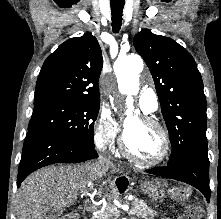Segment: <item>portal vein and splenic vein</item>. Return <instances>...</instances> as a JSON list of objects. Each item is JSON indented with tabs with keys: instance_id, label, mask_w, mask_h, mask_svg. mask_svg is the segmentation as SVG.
I'll return each instance as SVG.
<instances>
[{
	"instance_id": "obj_1",
	"label": "portal vein and splenic vein",
	"mask_w": 221,
	"mask_h": 219,
	"mask_svg": "<svg viewBox=\"0 0 221 219\" xmlns=\"http://www.w3.org/2000/svg\"><path fill=\"white\" fill-rule=\"evenodd\" d=\"M115 210H117V208H115ZM131 212V210L129 211V213Z\"/></svg>"
}]
</instances>
